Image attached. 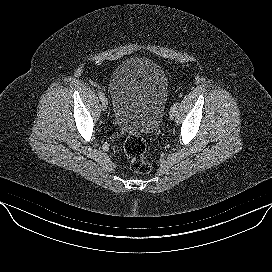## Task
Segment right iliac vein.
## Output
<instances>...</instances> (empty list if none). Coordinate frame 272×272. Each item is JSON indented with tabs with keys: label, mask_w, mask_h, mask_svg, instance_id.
I'll use <instances>...</instances> for the list:
<instances>
[{
	"label": "right iliac vein",
	"mask_w": 272,
	"mask_h": 272,
	"mask_svg": "<svg viewBox=\"0 0 272 272\" xmlns=\"http://www.w3.org/2000/svg\"><path fill=\"white\" fill-rule=\"evenodd\" d=\"M101 102H102V109H103V111H107V105H108L107 99H104Z\"/></svg>",
	"instance_id": "1"
}]
</instances>
